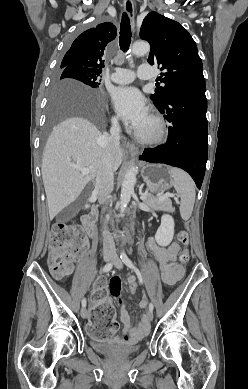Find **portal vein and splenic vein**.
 Instances as JSON below:
<instances>
[{
    "mask_svg": "<svg viewBox=\"0 0 248 389\" xmlns=\"http://www.w3.org/2000/svg\"><path fill=\"white\" fill-rule=\"evenodd\" d=\"M71 167L79 170L81 172L82 175L86 176L89 174V169L88 168H85V167H81L79 165H75V164H69ZM159 199L163 200V199H166V198H169V197H175L174 194L172 193H166V194H160L159 196ZM142 200H145L146 199V196L145 195H141L140 197Z\"/></svg>",
    "mask_w": 248,
    "mask_h": 389,
    "instance_id": "obj_1",
    "label": "portal vein and splenic vein"
}]
</instances>
